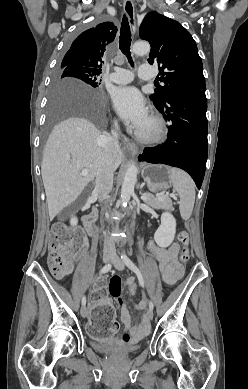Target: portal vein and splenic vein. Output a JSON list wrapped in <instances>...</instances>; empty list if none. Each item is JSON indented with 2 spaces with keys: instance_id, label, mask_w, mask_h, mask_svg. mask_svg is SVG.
I'll list each match as a JSON object with an SVG mask.
<instances>
[{
  "instance_id": "obj_1",
  "label": "portal vein and splenic vein",
  "mask_w": 248,
  "mask_h": 389,
  "mask_svg": "<svg viewBox=\"0 0 248 389\" xmlns=\"http://www.w3.org/2000/svg\"><path fill=\"white\" fill-rule=\"evenodd\" d=\"M80 170H81V175L86 176V175L88 174V170H87V169L81 168ZM169 196H171V197H173V198L176 197L175 194L166 193V194H160V195H158V198L161 200V199H164V198L169 197ZM141 198H142L143 200H146V199H147L146 196H142Z\"/></svg>"
}]
</instances>
